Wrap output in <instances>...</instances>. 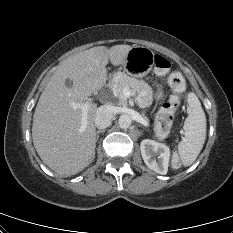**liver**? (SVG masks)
I'll return each mask as SVG.
<instances>
[{
	"label": "liver",
	"mask_w": 233,
	"mask_h": 233,
	"mask_svg": "<svg viewBox=\"0 0 233 233\" xmlns=\"http://www.w3.org/2000/svg\"><path fill=\"white\" fill-rule=\"evenodd\" d=\"M130 45L97 46L64 60L50 78L38 100L32 124L34 147L41 160L59 176H71L89 166L95 157L97 106L87 112L81 130L82 110L71 102L83 103L105 85L106 65H122ZM72 86L66 85V80Z\"/></svg>",
	"instance_id": "1"
}]
</instances>
